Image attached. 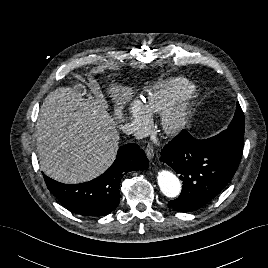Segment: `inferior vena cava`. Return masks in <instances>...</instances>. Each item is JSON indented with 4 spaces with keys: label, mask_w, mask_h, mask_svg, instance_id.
I'll list each match as a JSON object with an SVG mask.
<instances>
[{
    "label": "inferior vena cava",
    "mask_w": 268,
    "mask_h": 268,
    "mask_svg": "<svg viewBox=\"0 0 268 268\" xmlns=\"http://www.w3.org/2000/svg\"><path fill=\"white\" fill-rule=\"evenodd\" d=\"M122 131L127 135L132 134V135H135L136 137H139L137 128L135 126L131 125V124H125L122 127Z\"/></svg>",
    "instance_id": "inferior-vena-cava-1"
}]
</instances>
